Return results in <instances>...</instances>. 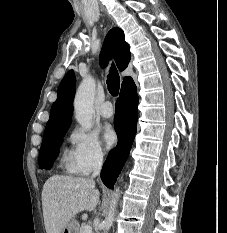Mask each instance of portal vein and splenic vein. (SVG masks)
Here are the masks:
<instances>
[{"instance_id": "18ae733b", "label": "portal vein and splenic vein", "mask_w": 227, "mask_h": 233, "mask_svg": "<svg viewBox=\"0 0 227 233\" xmlns=\"http://www.w3.org/2000/svg\"><path fill=\"white\" fill-rule=\"evenodd\" d=\"M83 233H93L92 227L90 225H85L83 227Z\"/></svg>"}]
</instances>
